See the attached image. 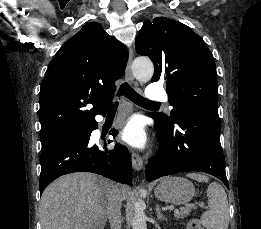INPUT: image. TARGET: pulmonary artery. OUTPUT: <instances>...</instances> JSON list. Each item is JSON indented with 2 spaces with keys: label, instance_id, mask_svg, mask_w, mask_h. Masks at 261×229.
Returning <instances> with one entry per match:
<instances>
[{
  "label": "pulmonary artery",
  "instance_id": "e3ab8cb5",
  "mask_svg": "<svg viewBox=\"0 0 261 229\" xmlns=\"http://www.w3.org/2000/svg\"><path fill=\"white\" fill-rule=\"evenodd\" d=\"M162 84H149L150 91L147 92L149 99H164L166 98V91H164ZM164 103L163 101L161 102Z\"/></svg>",
  "mask_w": 261,
  "mask_h": 229
}]
</instances>
